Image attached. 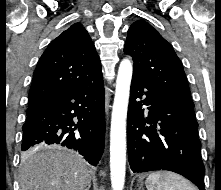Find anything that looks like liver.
<instances>
[{"instance_id": "liver-1", "label": "liver", "mask_w": 221, "mask_h": 190, "mask_svg": "<svg viewBox=\"0 0 221 190\" xmlns=\"http://www.w3.org/2000/svg\"><path fill=\"white\" fill-rule=\"evenodd\" d=\"M89 184L86 161L73 151L58 149L21 156L19 190H85Z\"/></svg>"}]
</instances>
